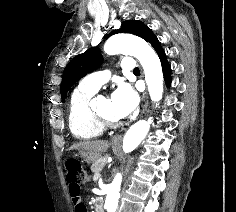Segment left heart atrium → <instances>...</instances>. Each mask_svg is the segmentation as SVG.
<instances>
[{"instance_id":"39dd6f15","label":"left heart atrium","mask_w":236,"mask_h":212,"mask_svg":"<svg viewBox=\"0 0 236 212\" xmlns=\"http://www.w3.org/2000/svg\"><path fill=\"white\" fill-rule=\"evenodd\" d=\"M111 103L115 117L124 118L136 109L138 96L130 86L121 85L113 92Z\"/></svg>"}]
</instances>
